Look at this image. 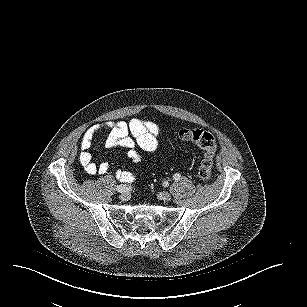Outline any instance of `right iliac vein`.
Segmentation results:
<instances>
[{"label":"right iliac vein","mask_w":307,"mask_h":307,"mask_svg":"<svg viewBox=\"0 0 307 307\" xmlns=\"http://www.w3.org/2000/svg\"><path fill=\"white\" fill-rule=\"evenodd\" d=\"M120 200L126 201L129 198V194L127 192V189L125 191L120 192Z\"/></svg>","instance_id":"63e3f726"}]
</instances>
